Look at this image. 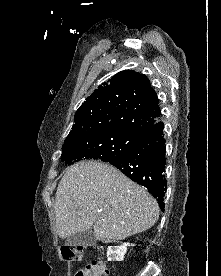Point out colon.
I'll return each mask as SVG.
<instances>
[{
    "instance_id": "5ec220e1",
    "label": "colon",
    "mask_w": 221,
    "mask_h": 276,
    "mask_svg": "<svg viewBox=\"0 0 221 276\" xmlns=\"http://www.w3.org/2000/svg\"><path fill=\"white\" fill-rule=\"evenodd\" d=\"M84 248L64 246L61 249L63 258L69 262L80 261ZM75 276H109V269L104 261L95 260L78 270Z\"/></svg>"
}]
</instances>
